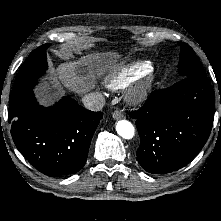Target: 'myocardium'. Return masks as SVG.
I'll return each mask as SVG.
<instances>
[{
  "instance_id": "obj_1",
  "label": "myocardium",
  "mask_w": 221,
  "mask_h": 221,
  "mask_svg": "<svg viewBox=\"0 0 221 221\" xmlns=\"http://www.w3.org/2000/svg\"><path fill=\"white\" fill-rule=\"evenodd\" d=\"M157 80L154 70L147 71L141 79L129 90L127 99L133 104L145 102L151 95Z\"/></svg>"
}]
</instances>
